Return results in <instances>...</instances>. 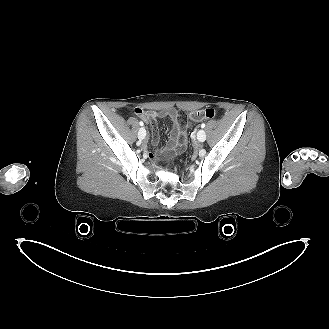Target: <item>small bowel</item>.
<instances>
[{
	"mask_svg": "<svg viewBox=\"0 0 329 329\" xmlns=\"http://www.w3.org/2000/svg\"><path fill=\"white\" fill-rule=\"evenodd\" d=\"M136 115L143 119L150 126V139L153 145H157L159 142V135L155 126V121L159 118H166L172 122V129L169 133V140L165 149L160 153L163 158H170L175 153L182 152L186 147V131L189 127L187 123L188 114L182 109H164L160 111L156 110H144L137 107L135 109ZM149 158H155V155L146 150Z\"/></svg>",
	"mask_w": 329,
	"mask_h": 329,
	"instance_id": "small-bowel-1",
	"label": "small bowel"
}]
</instances>
